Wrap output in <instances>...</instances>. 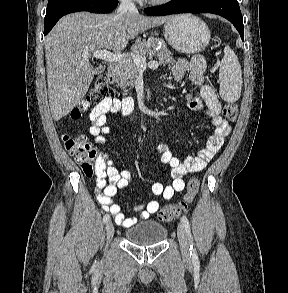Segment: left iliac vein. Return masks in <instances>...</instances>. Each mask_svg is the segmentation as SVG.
<instances>
[{
    "mask_svg": "<svg viewBox=\"0 0 288 293\" xmlns=\"http://www.w3.org/2000/svg\"><path fill=\"white\" fill-rule=\"evenodd\" d=\"M177 236L180 243L181 252L184 257L188 258L190 256V249L188 245L187 236L182 224H179L178 226Z\"/></svg>",
    "mask_w": 288,
    "mask_h": 293,
    "instance_id": "left-iliac-vein-1",
    "label": "left iliac vein"
}]
</instances>
